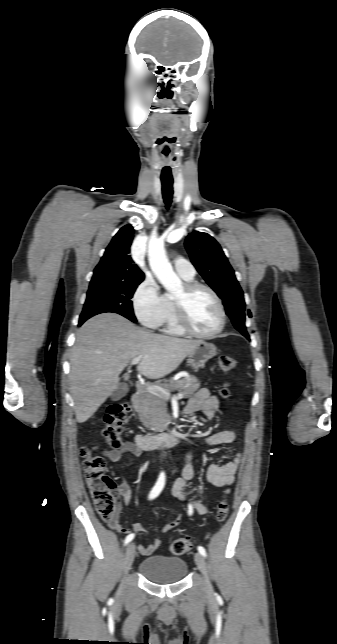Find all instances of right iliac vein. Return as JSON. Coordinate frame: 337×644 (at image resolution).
<instances>
[{"label": "right iliac vein", "instance_id": "obj_1", "mask_svg": "<svg viewBox=\"0 0 337 644\" xmlns=\"http://www.w3.org/2000/svg\"><path fill=\"white\" fill-rule=\"evenodd\" d=\"M135 545L133 543H130L127 546L126 552H125V557H124V572H128L133 564L134 558H135Z\"/></svg>", "mask_w": 337, "mask_h": 644}]
</instances>
